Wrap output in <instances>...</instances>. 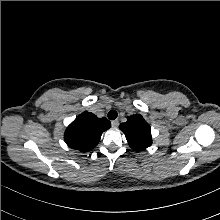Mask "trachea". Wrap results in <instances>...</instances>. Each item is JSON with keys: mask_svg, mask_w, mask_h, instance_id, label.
Segmentation results:
<instances>
[{"mask_svg": "<svg viewBox=\"0 0 220 220\" xmlns=\"http://www.w3.org/2000/svg\"><path fill=\"white\" fill-rule=\"evenodd\" d=\"M117 116H118V113L115 110H111V111L108 112V118L110 120L116 119Z\"/></svg>", "mask_w": 220, "mask_h": 220, "instance_id": "obj_1", "label": "trachea"}]
</instances>
